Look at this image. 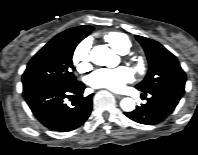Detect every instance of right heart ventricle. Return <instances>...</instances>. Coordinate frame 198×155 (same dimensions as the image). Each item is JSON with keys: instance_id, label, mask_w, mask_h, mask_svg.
Returning a JSON list of instances; mask_svg holds the SVG:
<instances>
[{"instance_id": "1", "label": "right heart ventricle", "mask_w": 198, "mask_h": 155, "mask_svg": "<svg viewBox=\"0 0 198 155\" xmlns=\"http://www.w3.org/2000/svg\"><path fill=\"white\" fill-rule=\"evenodd\" d=\"M106 42L118 53H126L130 46V40L122 33L119 32H110L104 36Z\"/></svg>"}]
</instances>
